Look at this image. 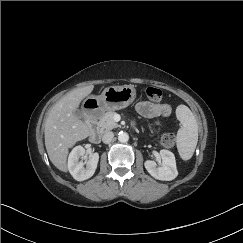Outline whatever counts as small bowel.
I'll list each match as a JSON object with an SVG mask.
<instances>
[{
  "mask_svg": "<svg viewBox=\"0 0 243 243\" xmlns=\"http://www.w3.org/2000/svg\"><path fill=\"white\" fill-rule=\"evenodd\" d=\"M138 113L145 118L164 117L168 118L172 114V107L168 103H153L142 101L137 104Z\"/></svg>",
  "mask_w": 243,
  "mask_h": 243,
  "instance_id": "obj_1",
  "label": "small bowel"
}]
</instances>
